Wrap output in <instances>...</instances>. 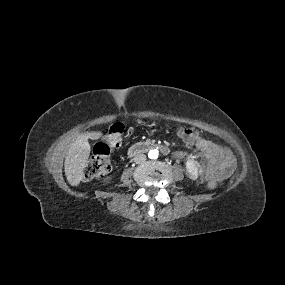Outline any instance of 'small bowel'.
<instances>
[{"label":"small bowel","mask_w":285,"mask_h":285,"mask_svg":"<svg viewBox=\"0 0 285 285\" xmlns=\"http://www.w3.org/2000/svg\"><path fill=\"white\" fill-rule=\"evenodd\" d=\"M195 145L205 159V164L201 165L205 178L225 179L231 175L235 162L226 147L201 136L197 138ZM175 156L181 159L185 156V153L177 151Z\"/></svg>","instance_id":"small-bowel-1"}]
</instances>
